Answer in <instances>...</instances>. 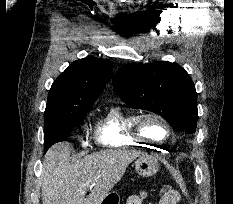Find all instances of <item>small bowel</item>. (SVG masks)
I'll list each match as a JSON object with an SVG mask.
<instances>
[{
    "mask_svg": "<svg viewBox=\"0 0 233 204\" xmlns=\"http://www.w3.org/2000/svg\"><path fill=\"white\" fill-rule=\"evenodd\" d=\"M146 192L142 191L139 194L132 195L129 197L127 204H142L146 198Z\"/></svg>",
    "mask_w": 233,
    "mask_h": 204,
    "instance_id": "c3829d8e",
    "label": "small bowel"
}]
</instances>
